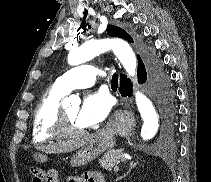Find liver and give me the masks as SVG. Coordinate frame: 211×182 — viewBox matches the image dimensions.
I'll list each match as a JSON object with an SVG mask.
<instances>
[{
  "label": "liver",
  "mask_w": 211,
  "mask_h": 182,
  "mask_svg": "<svg viewBox=\"0 0 211 182\" xmlns=\"http://www.w3.org/2000/svg\"><path fill=\"white\" fill-rule=\"evenodd\" d=\"M91 136H85L77 140H70L66 142H59L49 145H41L37 147L38 150L46 153H65L70 152L80 147H83Z\"/></svg>",
  "instance_id": "1"
}]
</instances>
